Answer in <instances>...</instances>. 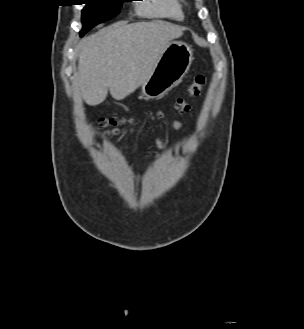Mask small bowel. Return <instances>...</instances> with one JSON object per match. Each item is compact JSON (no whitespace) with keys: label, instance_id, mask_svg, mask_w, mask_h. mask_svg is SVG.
Here are the masks:
<instances>
[{"label":"small bowel","instance_id":"obj_1","mask_svg":"<svg viewBox=\"0 0 304 329\" xmlns=\"http://www.w3.org/2000/svg\"><path fill=\"white\" fill-rule=\"evenodd\" d=\"M183 126H184L183 121L176 120L172 124V129L175 130V131H178V130L182 129ZM156 144L159 148H163V146H164L163 141L160 138L156 139Z\"/></svg>","mask_w":304,"mask_h":329}]
</instances>
